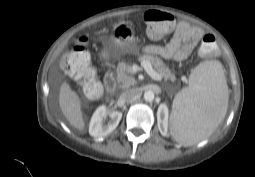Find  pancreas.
Returning <instances> with one entry per match:
<instances>
[{"label":"pancreas","instance_id":"1","mask_svg":"<svg viewBox=\"0 0 255 177\" xmlns=\"http://www.w3.org/2000/svg\"><path fill=\"white\" fill-rule=\"evenodd\" d=\"M138 59L140 61H149L153 65L155 71L164 80H171L173 82L176 80L175 75L171 73L170 69L166 66L162 59L147 54L139 55ZM131 73L132 67L130 64L125 62L118 63L116 80L119 88L127 89L136 84V80L131 76Z\"/></svg>","mask_w":255,"mask_h":177}]
</instances>
